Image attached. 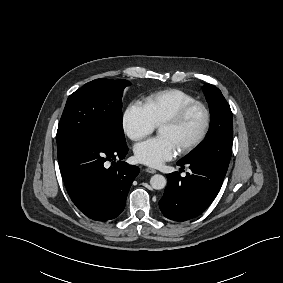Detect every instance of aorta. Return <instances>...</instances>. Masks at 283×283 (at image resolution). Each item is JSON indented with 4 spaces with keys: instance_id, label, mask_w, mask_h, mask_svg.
I'll use <instances>...</instances> for the list:
<instances>
[{
    "instance_id": "1",
    "label": "aorta",
    "mask_w": 283,
    "mask_h": 283,
    "mask_svg": "<svg viewBox=\"0 0 283 283\" xmlns=\"http://www.w3.org/2000/svg\"><path fill=\"white\" fill-rule=\"evenodd\" d=\"M167 181L163 175L156 174L153 175L150 179V185L153 189L161 190L165 188Z\"/></svg>"
}]
</instances>
